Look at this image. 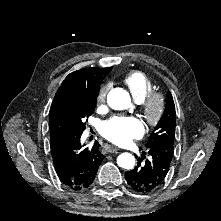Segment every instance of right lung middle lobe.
Returning <instances> with one entry per match:
<instances>
[{
  "label": "right lung middle lobe",
  "mask_w": 221,
  "mask_h": 221,
  "mask_svg": "<svg viewBox=\"0 0 221 221\" xmlns=\"http://www.w3.org/2000/svg\"><path fill=\"white\" fill-rule=\"evenodd\" d=\"M96 97L84 93H69L64 97V107L67 115V127L65 132L68 135L82 134L85 130L84 120L88 118L95 109ZM64 131L51 134L50 143L53 138H63Z\"/></svg>",
  "instance_id": "1"
}]
</instances>
